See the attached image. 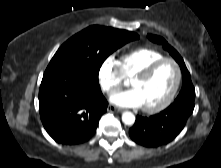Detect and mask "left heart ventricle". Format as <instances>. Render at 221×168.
<instances>
[{
  "label": "left heart ventricle",
  "mask_w": 221,
  "mask_h": 168,
  "mask_svg": "<svg viewBox=\"0 0 221 168\" xmlns=\"http://www.w3.org/2000/svg\"><path fill=\"white\" fill-rule=\"evenodd\" d=\"M176 69L172 63L159 66L146 80L131 83L141 99L144 107H152L163 102L170 94L175 81Z\"/></svg>",
  "instance_id": "1"
}]
</instances>
